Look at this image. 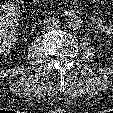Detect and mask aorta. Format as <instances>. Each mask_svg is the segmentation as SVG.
Segmentation results:
<instances>
[{
  "label": "aorta",
  "mask_w": 113,
  "mask_h": 113,
  "mask_svg": "<svg viewBox=\"0 0 113 113\" xmlns=\"http://www.w3.org/2000/svg\"><path fill=\"white\" fill-rule=\"evenodd\" d=\"M82 23H83L82 19L77 15L71 16L67 20L68 27L72 30L80 29Z\"/></svg>",
  "instance_id": "obj_1"
}]
</instances>
